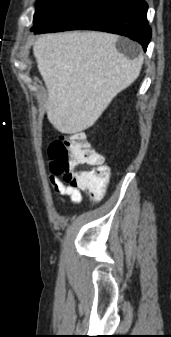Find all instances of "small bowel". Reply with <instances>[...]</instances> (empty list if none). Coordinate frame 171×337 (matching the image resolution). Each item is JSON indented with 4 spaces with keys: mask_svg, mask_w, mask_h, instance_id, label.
Here are the masks:
<instances>
[{
    "mask_svg": "<svg viewBox=\"0 0 171 337\" xmlns=\"http://www.w3.org/2000/svg\"><path fill=\"white\" fill-rule=\"evenodd\" d=\"M50 184L53 187V189L60 195L69 196L73 204L77 205L82 201V194L80 189L64 183L58 177L54 175L50 176ZM58 201L61 205H64L65 203L63 198L61 197L58 198Z\"/></svg>",
    "mask_w": 171,
    "mask_h": 337,
    "instance_id": "small-bowel-1",
    "label": "small bowel"
}]
</instances>
